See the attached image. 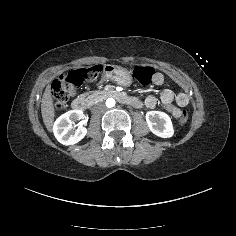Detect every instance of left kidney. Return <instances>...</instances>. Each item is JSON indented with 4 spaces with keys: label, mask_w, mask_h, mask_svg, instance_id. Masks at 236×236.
<instances>
[{
    "label": "left kidney",
    "mask_w": 236,
    "mask_h": 236,
    "mask_svg": "<svg viewBox=\"0 0 236 236\" xmlns=\"http://www.w3.org/2000/svg\"><path fill=\"white\" fill-rule=\"evenodd\" d=\"M146 121L150 131L162 138L172 137L174 134L170 117L161 111H149L146 113Z\"/></svg>",
    "instance_id": "5707ae66"
}]
</instances>
